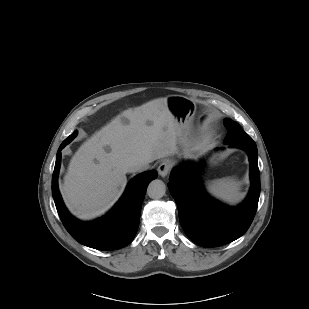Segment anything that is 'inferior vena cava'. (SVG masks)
Wrapping results in <instances>:
<instances>
[{"label": "inferior vena cava", "instance_id": "602c4592", "mask_svg": "<svg viewBox=\"0 0 309 309\" xmlns=\"http://www.w3.org/2000/svg\"><path fill=\"white\" fill-rule=\"evenodd\" d=\"M148 168H149L148 163H135L130 167L129 172L143 171Z\"/></svg>", "mask_w": 309, "mask_h": 309}]
</instances>
